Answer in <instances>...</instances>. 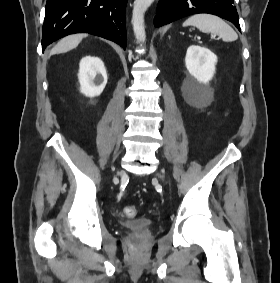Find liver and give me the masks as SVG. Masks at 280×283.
Listing matches in <instances>:
<instances>
[{"label":"liver","mask_w":280,"mask_h":283,"mask_svg":"<svg viewBox=\"0 0 280 283\" xmlns=\"http://www.w3.org/2000/svg\"><path fill=\"white\" fill-rule=\"evenodd\" d=\"M86 34L69 35L61 39L57 45L51 50L50 54H59L70 51L78 46V44L85 38Z\"/></svg>","instance_id":"obj_1"}]
</instances>
